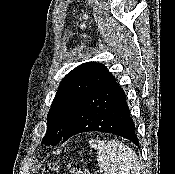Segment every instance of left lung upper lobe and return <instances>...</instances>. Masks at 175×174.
<instances>
[{"label":"left lung upper lobe","mask_w":175,"mask_h":174,"mask_svg":"<svg viewBox=\"0 0 175 174\" xmlns=\"http://www.w3.org/2000/svg\"><path fill=\"white\" fill-rule=\"evenodd\" d=\"M111 75L105 65L97 62L81 64L67 74L61 81L51 105L47 117V131L42 143H59L78 102Z\"/></svg>","instance_id":"left-lung-upper-lobe-1"}]
</instances>
